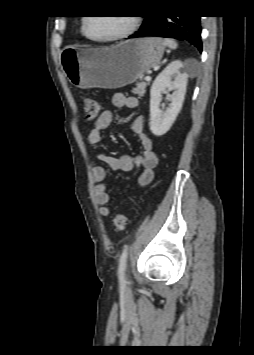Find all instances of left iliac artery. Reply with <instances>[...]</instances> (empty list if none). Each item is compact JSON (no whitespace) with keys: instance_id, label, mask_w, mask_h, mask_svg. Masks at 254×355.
<instances>
[{"instance_id":"left-iliac-artery-1","label":"left iliac artery","mask_w":254,"mask_h":355,"mask_svg":"<svg viewBox=\"0 0 254 355\" xmlns=\"http://www.w3.org/2000/svg\"><path fill=\"white\" fill-rule=\"evenodd\" d=\"M128 257V248L124 249L120 259H119V268H118V275H119V280L121 284H125V277H124V272L126 268V261Z\"/></svg>"}]
</instances>
